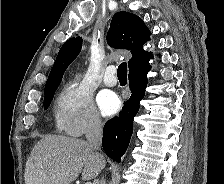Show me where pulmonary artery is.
<instances>
[{
    "mask_svg": "<svg viewBox=\"0 0 224 184\" xmlns=\"http://www.w3.org/2000/svg\"><path fill=\"white\" fill-rule=\"evenodd\" d=\"M116 68L115 66H109L106 69L103 82L108 87H114L117 84V78L115 76Z\"/></svg>",
    "mask_w": 224,
    "mask_h": 184,
    "instance_id": "1",
    "label": "pulmonary artery"
}]
</instances>
